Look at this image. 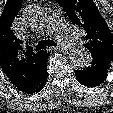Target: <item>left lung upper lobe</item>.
<instances>
[{"instance_id": "obj_1", "label": "left lung upper lobe", "mask_w": 113, "mask_h": 113, "mask_svg": "<svg viewBox=\"0 0 113 113\" xmlns=\"http://www.w3.org/2000/svg\"><path fill=\"white\" fill-rule=\"evenodd\" d=\"M74 25L82 29L86 47L92 57L109 63L113 59V36L93 0H56Z\"/></svg>"}]
</instances>
